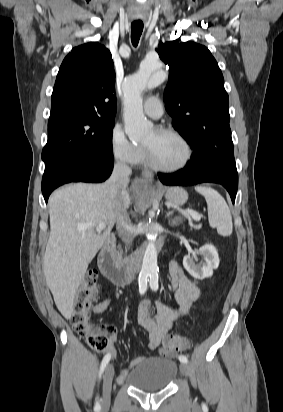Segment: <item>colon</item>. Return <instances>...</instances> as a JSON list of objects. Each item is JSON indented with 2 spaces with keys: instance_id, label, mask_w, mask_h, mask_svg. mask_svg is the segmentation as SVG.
I'll list each match as a JSON object with an SVG mask.
<instances>
[{
  "instance_id": "obj_1",
  "label": "colon",
  "mask_w": 283,
  "mask_h": 412,
  "mask_svg": "<svg viewBox=\"0 0 283 412\" xmlns=\"http://www.w3.org/2000/svg\"><path fill=\"white\" fill-rule=\"evenodd\" d=\"M98 271L87 273L78 288L73 303L68 311V318L75 333L84 338L87 344L96 351H103L108 346L109 336L103 327H95L90 322L91 307L98 287ZM167 352H179L187 348V340L179 335H168L163 342Z\"/></svg>"
}]
</instances>
